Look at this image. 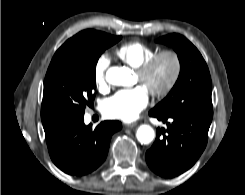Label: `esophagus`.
Returning <instances> with one entry per match:
<instances>
[{
	"mask_svg": "<svg viewBox=\"0 0 245 195\" xmlns=\"http://www.w3.org/2000/svg\"><path fill=\"white\" fill-rule=\"evenodd\" d=\"M138 124L136 123V122H134V123H130V124H126L125 126L127 127V128H133V127H136Z\"/></svg>",
	"mask_w": 245,
	"mask_h": 195,
	"instance_id": "esophagus-1",
	"label": "esophagus"
}]
</instances>
